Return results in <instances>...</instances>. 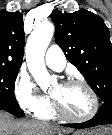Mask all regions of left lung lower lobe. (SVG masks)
<instances>
[{"instance_id": "1", "label": "left lung lower lobe", "mask_w": 112, "mask_h": 135, "mask_svg": "<svg viewBox=\"0 0 112 135\" xmlns=\"http://www.w3.org/2000/svg\"><path fill=\"white\" fill-rule=\"evenodd\" d=\"M112 124V101L104 102L98 113L89 121L78 124H62L71 128H88L97 125Z\"/></svg>"}]
</instances>
